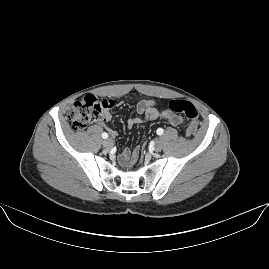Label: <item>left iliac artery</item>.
Instances as JSON below:
<instances>
[{
    "label": "left iliac artery",
    "instance_id": "1",
    "mask_svg": "<svg viewBox=\"0 0 269 269\" xmlns=\"http://www.w3.org/2000/svg\"><path fill=\"white\" fill-rule=\"evenodd\" d=\"M163 132H164V131H163V129H162V128H158V129H157V134H158V135H162V134H163Z\"/></svg>",
    "mask_w": 269,
    "mask_h": 269
}]
</instances>
